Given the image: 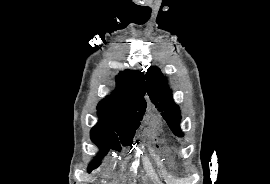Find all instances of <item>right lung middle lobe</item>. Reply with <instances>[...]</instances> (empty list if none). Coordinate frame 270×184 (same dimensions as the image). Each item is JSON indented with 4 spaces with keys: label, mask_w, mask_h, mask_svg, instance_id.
Wrapping results in <instances>:
<instances>
[{
    "label": "right lung middle lobe",
    "mask_w": 270,
    "mask_h": 184,
    "mask_svg": "<svg viewBox=\"0 0 270 184\" xmlns=\"http://www.w3.org/2000/svg\"><path fill=\"white\" fill-rule=\"evenodd\" d=\"M140 121L131 124H110V123H98L91 130L92 141L101 149L102 158L109 149L120 151L122 145L132 144V138L135 133V129L139 127ZM98 167V162L94 161L90 164L88 171Z\"/></svg>",
    "instance_id": "right-lung-middle-lobe-1"
}]
</instances>
